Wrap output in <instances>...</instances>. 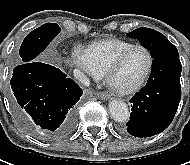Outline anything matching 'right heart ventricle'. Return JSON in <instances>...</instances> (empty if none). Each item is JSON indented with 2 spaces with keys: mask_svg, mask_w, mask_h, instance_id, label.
<instances>
[{
  "mask_svg": "<svg viewBox=\"0 0 190 165\" xmlns=\"http://www.w3.org/2000/svg\"><path fill=\"white\" fill-rule=\"evenodd\" d=\"M132 45L131 42L111 38L93 42L86 50L95 70L104 76L118 54Z\"/></svg>",
  "mask_w": 190,
  "mask_h": 165,
  "instance_id": "right-heart-ventricle-1",
  "label": "right heart ventricle"
}]
</instances>
